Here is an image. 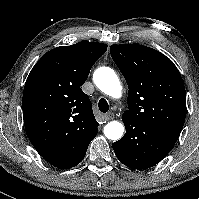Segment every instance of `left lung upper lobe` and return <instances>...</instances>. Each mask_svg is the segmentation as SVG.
I'll use <instances>...</instances> for the list:
<instances>
[{
	"instance_id": "5c2ea615",
	"label": "left lung upper lobe",
	"mask_w": 199,
	"mask_h": 199,
	"mask_svg": "<svg viewBox=\"0 0 199 199\" xmlns=\"http://www.w3.org/2000/svg\"><path fill=\"white\" fill-rule=\"evenodd\" d=\"M110 53L129 88V109L122 119H134L178 139L186 117V92L174 63L138 44L111 45Z\"/></svg>"
}]
</instances>
